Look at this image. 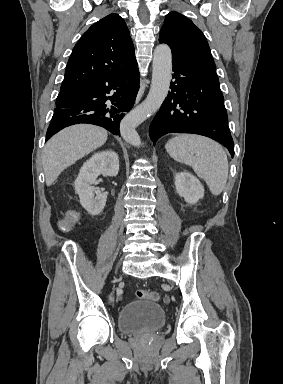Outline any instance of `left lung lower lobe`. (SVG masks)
<instances>
[{
  "instance_id": "1",
  "label": "left lung lower lobe",
  "mask_w": 283,
  "mask_h": 384,
  "mask_svg": "<svg viewBox=\"0 0 283 384\" xmlns=\"http://www.w3.org/2000/svg\"><path fill=\"white\" fill-rule=\"evenodd\" d=\"M172 63L171 92L149 128L153 143L171 132L199 134L227 147L233 157L234 143L217 74L180 61Z\"/></svg>"
}]
</instances>
